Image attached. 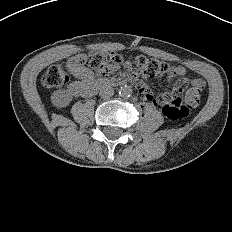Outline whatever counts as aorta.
<instances>
[{
  "label": "aorta",
  "instance_id": "obj_1",
  "mask_svg": "<svg viewBox=\"0 0 232 232\" xmlns=\"http://www.w3.org/2000/svg\"><path fill=\"white\" fill-rule=\"evenodd\" d=\"M132 93H133V90L128 85L121 86L120 89H119V94L123 98L130 97L132 95Z\"/></svg>",
  "mask_w": 232,
  "mask_h": 232
}]
</instances>
